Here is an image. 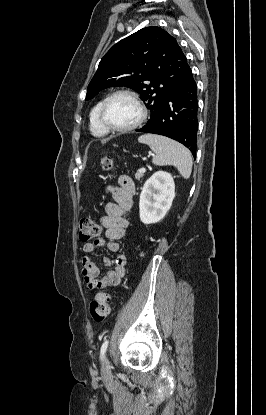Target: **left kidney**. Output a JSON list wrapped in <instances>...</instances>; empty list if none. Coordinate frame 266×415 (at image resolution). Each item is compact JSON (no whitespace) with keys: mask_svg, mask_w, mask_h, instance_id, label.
Masks as SVG:
<instances>
[{"mask_svg":"<svg viewBox=\"0 0 266 415\" xmlns=\"http://www.w3.org/2000/svg\"><path fill=\"white\" fill-rule=\"evenodd\" d=\"M175 183L170 173L155 172L144 184L139 200V216L144 224L157 223L172 206Z\"/></svg>","mask_w":266,"mask_h":415,"instance_id":"5707ae66","label":"left kidney"}]
</instances>
